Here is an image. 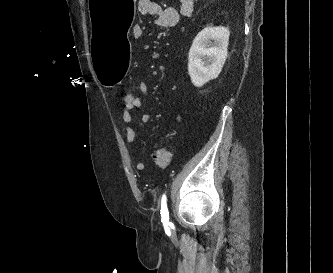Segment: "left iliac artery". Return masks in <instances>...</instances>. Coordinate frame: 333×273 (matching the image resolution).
Instances as JSON below:
<instances>
[{
    "label": "left iliac artery",
    "instance_id": "obj_1",
    "mask_svg": "<svg viewBox=\"0 0 333 273\" xmlns=\"http://www.w3.org/2000/svg\"><path fill=\"white\" fill-rule=\"evenodd\" d=\"M160 214H161V221L163 223V225L169 224V211L167 208V197L165 194L162 195L161 198V210H160Z\"/></svg>",
    "mask_w": 333,
    "mask_h": 273
}]
</instances>
